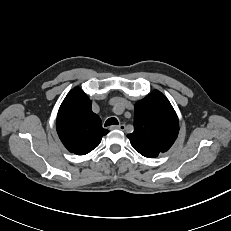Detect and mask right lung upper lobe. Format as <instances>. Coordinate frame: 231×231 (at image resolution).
I'll return each mask as SVG.
<instances>
[{"instance_id": "1", "label": "right lung upper lobe", "mask_w": 231, "mask_h": 231, "mask_svg": "<svg viewBox=\"0 0 231 231\" xmlns=\"http://www.w3.org/2000/svg\"><path fill=\"white\" fill-rule=\"evenodd\" d=\"M91 100L79 87L72 89L62 102L57 116V132L72 153L85 155L95 149L109 131L92 112Z\"/></svg>"}]
</instances>
